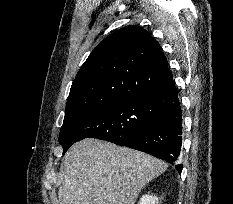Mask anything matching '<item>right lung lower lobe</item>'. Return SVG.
<instances>
[{
  "label": "right lung lower lobe",
  "mask_w": 233,
  "mask_h": 204,
  "mask_svg": "<svg viewBox=\"0 0 233 204\" xmlns=\"http://www.w3.org/2000/svg\"><path fill=\"white\" fill-rule=\"evenodd\" d=\"M151 104L159 119L141 131L122 135L112 143L143 151L173 164L182 145V112L175 83L154 94ZM176 169L180 173L182 164H177Z\"/></svg>",
  "instance_id": "right-lung-lower-lobe-1"
}]
</instances>
